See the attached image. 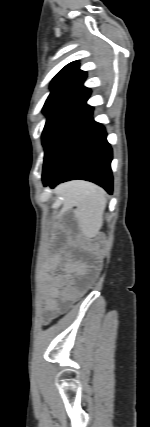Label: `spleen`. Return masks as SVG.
<instances>
[{
    "label": "spleen",
    "mask_w": 150,
    "mask_h": 427,
    "mask_svg": "<svg viewBox=\"0 0 150 427\" xmlns=\"http://www.w3.org/2000/svg\"><path fill=\"white\" fill-rule=\"evenodd\" d=\"M67 206H75V216L84 235L94 237L103 225L107 204L103 189L85 181H75L60 189Z\"/></svg>",
    "instance_id": "spleen-1"
}]
</instances>
